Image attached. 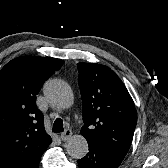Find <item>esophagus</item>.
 I'll return each mask as SVG.
<instances>
[{
	"mask_svg": "<svg viewBox=\"0 0 168 168\" xmlns=\"http://www.w3.org/2000/svg\"><path fill=\"white\" fill-rule=\"evenodd\" d=\"M72 136V131L70 129H66L63 133H61V139L63 141L68 140Z\"/></svg>",
	"mask_w": 168,
	"mask_h": 168,
	"instance_id": "1",
	"label": "esophagus"
}]
</instances>
